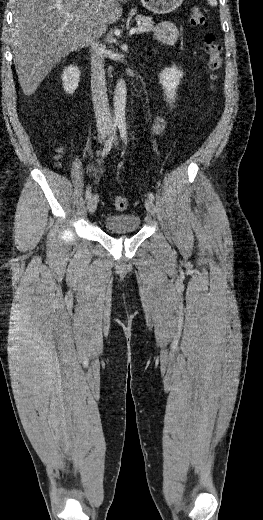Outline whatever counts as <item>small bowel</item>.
<instances>
[{"mask_svg":"<svg viewBox=\"0 0 263 520\" xmlns=\"http://www.w3.org/2000/svg\"><path fill=\"white\" fill-rule=\"evenodd\" d=\"M156 37L160 42H162L164 44L173 45L174 43L177 42V40L179 38V32L173 24L168 23V22H163L158 26V28L156 30ZM165 125H166L165 119L163 117H158V118H156V120L153 123V131L156 134H159L163 131V129L165 128ZM60 151L61 150L59 149L58 152H60ZM58 159H59V155H57V160ZM100 172H101L100 166L92 165L88 169V174L92 177H97L100 174Z\"/></svg>","mask_w":263,"mask_h":520,"instance_id":"1","label":"small bowel"}]
</instances>
